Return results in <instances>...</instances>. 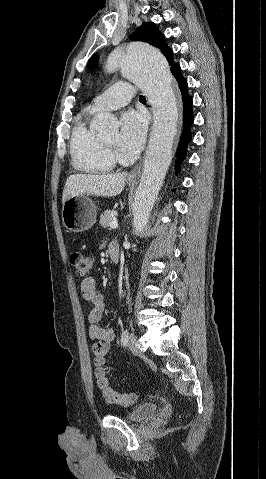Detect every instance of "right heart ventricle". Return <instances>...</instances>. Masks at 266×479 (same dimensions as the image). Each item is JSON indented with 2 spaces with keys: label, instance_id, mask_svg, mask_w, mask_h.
Listing matches in <instances>:
<instances>
[{
  "label": "right heart ventricle",
  "instance_id": "right-heart-ventricle-1",
  "mask_svg": "<svg viewBox=\"0 0 266 479\" xmlns=\"http://www.w3.org/2000/svg\"><path fill=\"white\" fill-rule=\"evenodd\" d=\"M70 152L74 167L84 173H108L115 165L103 139L88 127L85 118H79L73 128Z\"/></svg>",
  "mask_w": 266,
  "mask_h": 479
}]
</instances>
